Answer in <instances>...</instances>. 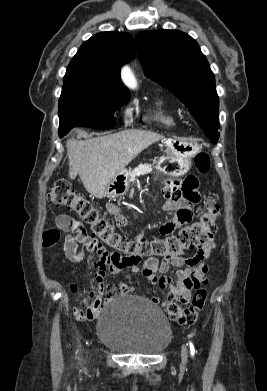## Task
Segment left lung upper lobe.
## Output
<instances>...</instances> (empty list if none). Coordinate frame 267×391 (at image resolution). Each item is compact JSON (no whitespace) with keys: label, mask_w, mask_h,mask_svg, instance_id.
<instances>
[{"label":"left lung upper lobe","mask_w":267,"mask_h":391,"mask_svg":"<svg viewBox=\"0 0 267 391\" xmlns=\"http://www.w3.org/2000/svg\"><path fill=\"white\" fill-rule=\"evenodd\" d=\"M135 41L146 76L179 98L216 143L219 99L214 74L197 42L184 32L164 29L141 32Z\"/></svg>","instance_id":"left-lung-upper-lobe-1"}]
</instances>
